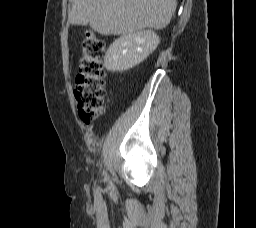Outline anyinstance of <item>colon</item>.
Instances as JSON below:
<instances>
[{
  "label": "colon",
  "instance_id": "1",
  "mask_svg": "<svg viewBox=\"0 0 256 228\" xmlns=\"http://www.w3.org/2000/svg\"><path fill=\"white\" fill-rule=\"evenodd\" d=\"M104 53V41L93 31H86L74 87L78 115L84 122L94 120L104 110Z\"/></svg>",
  "mask_w": 256,
  "mask_h": 228
}]
</instances>
